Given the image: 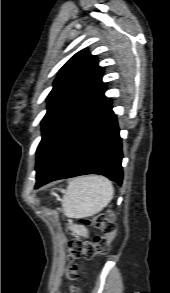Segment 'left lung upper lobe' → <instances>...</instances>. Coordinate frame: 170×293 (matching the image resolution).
<instances>
[{
  "mask_svg": "<svg viewBox=\"0 0 170 293\" xmlns=\"http://www.w3.org/2000/svg\"><path fill=\"white\" fill-rule=\"evenodd\" d=\"M102 73L96 57L86 50L76 53L59 71L47 97L36 176L47 170L75 133L108 100Z\"/></svg>",
  "mask_w": 170,
  "mask_h": 293,
  "instance_id": "5c2ea615",
  "label": "left lung upper lobe"
}]
</instances>
